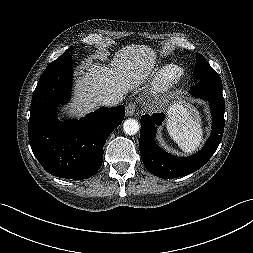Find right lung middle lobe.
I'll return each instance as SVG.
<instances>
[{
	"mask_svg": "<svg viewBox=\"0 0 253 253\" xmlns=\"http://www.w3.org/2000/svg\"><path fill=\"white\" fill-rule=\"evenodd\" d=\"M74 47L70 48L69 50H67L66 52H64L59 58H57L55 61H53L52 63L54 62H58L64 58H66L68 55H69V52L73 49ZM50 63V64H52Z\"/></svg>",
	"mask_w": 253,
	"mask_h": 253,
	"instance_id": "dd1d6c3e",
	"label": "right lung middle lobe"
}]
</instances>
